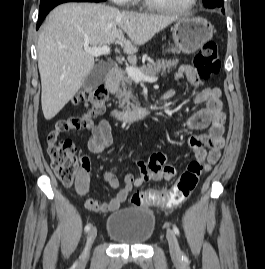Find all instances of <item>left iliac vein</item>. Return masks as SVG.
Returning <instances> with one entry per match:
<instances>
[{
    "label": "left iliac vein",
    "mask_w": 265,
    "mask_h": 269,
    "mask_svg": "<svg viewBox=\"0 0 265 269\" xmlns=\"http://www.w3.org/2000/svg\"><path fill=\"white\" fill-rule=\"evenodd\" d=\"M166 237L168 240L172 259L179 261L181 259L182 253L175 233L169 229L167 230Z\"/></svg>",
    "instance_id": "1"
}]
</instances>
